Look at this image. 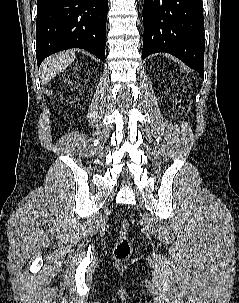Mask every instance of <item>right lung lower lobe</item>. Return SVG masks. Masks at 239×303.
<instances>
[{
    "instance_id": "1",
    "label": "right lung lower lobe",
    "mask_w": 239,
    "mask_h": 303,
    "mask_svg": "<svg viewBox=\"0 0 239 303\" xmlns=\"http://www.w3.org/2000/svg\"><path fill=\"white\" fill-rule=\"evenodd\" d=\"M108 0H38V66L49 55L81 48L105 59Z\"/></svg>"
}]
</instances>
